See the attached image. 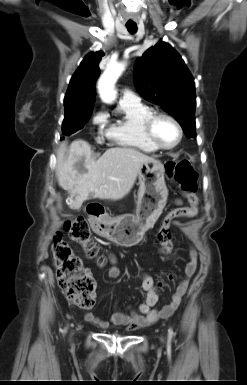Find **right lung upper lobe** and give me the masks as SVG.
<instances>
[{
  "label": "right lung upper lobe",
  "instance_id": "right-lung-upper-lobe-1",
  "mask_svg": "<svg viewBox=\"0 0 247 385\" xmlns=\"http://www.w3.org/2000/svg\"><path fill=\"white\" fill-rule=\"evenodd\" d=\"M104 52H91L87 54L80 66L72 76L64 106L93 107L96 97L95 82L100 74L99 65Z\"/></svg>",
  "mask_w": 247,
  "mask_h": 385
}]
</instances>
